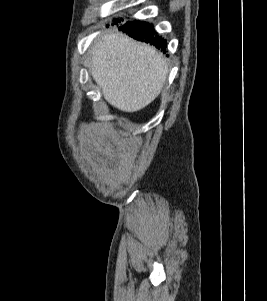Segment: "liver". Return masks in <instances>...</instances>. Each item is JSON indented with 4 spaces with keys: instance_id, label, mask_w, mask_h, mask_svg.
I'll use <instances>...</instances> for the list:
<instances>
[{
    "instance_id": "liver-1",
    "label": "liver",
    "mask_w": 267,
    "mask_h": 301,
    "mask_svg": "<svg viewBox=\"0 0 267 301\" xmlns=\"http://www.w3.org/2000/svg\"><path fill=\"white\" fill-rule=\"evenodd\" d=\"M90 70L105 100L125 112L149 105L165 85L168 66L162 53L126 35L108 32L90 49Z\"/></svg>"
}]
</instances>
